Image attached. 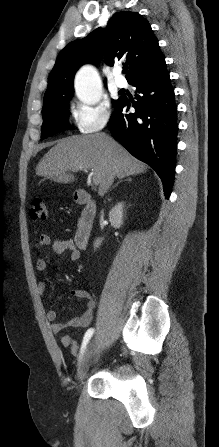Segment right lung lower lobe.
<instances>
[{
	"mask_svg": "<svg viewBox=\"0 0 219 447\" xmlns=\"http://www.w3.org/2000/svg\"><path fill=\"white\" fill-rule=\"evenodd\" d=\"M141 95L132 106L120 97L109 126L113 137L132 155L150 165L162 180L168 199L174 180L177 148V106L165 60L131 83Z\"/></svg>",
	"mask_w": 219,
	"mask_h": 447,
	"instance_id": "1",
	"label": "right lung lower lobe"
}]
</instances>
